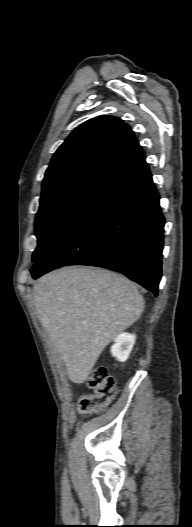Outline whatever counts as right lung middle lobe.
<instances>
[{
    "label": "right lung middle lobe",
    "instance_id": "obj_1",
    "mask_svg": "<svg viewBox=\"0 0 192 527\" xmlns=\"http://www.w3.org/2000/svg\"><path fill=\"white\" fill-rule=\"evenodd\" d=\"M106 183L104 179L86 177L42 192L35 220L38 246L33 262L49 252Z\"/></svg>",
    "mask_w": 192,
    "mask_h": 527
}]
</instances>
